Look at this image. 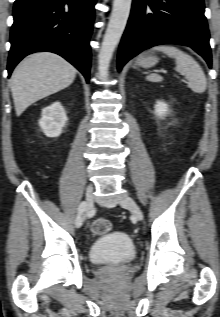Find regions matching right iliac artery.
I'll return each mask as SVG.
<instances>
[{
    "mask_svg": "<svg viewBox=\"0 0 220 317\" xmlns=\"http://www.w3.org/2000/svg\"><path fill=\"white\" fill-rule=\"evenodd\" d=\"M85 211V201L81 202L78 208V215L75 220L76 227H80L82 225V214Z\"/></svg>",
    "mask_w": 220,
    "mask_h": 317,
    "instance_id": "82829eb1",
    "label": "right iliac artery"
}]
</instances>
